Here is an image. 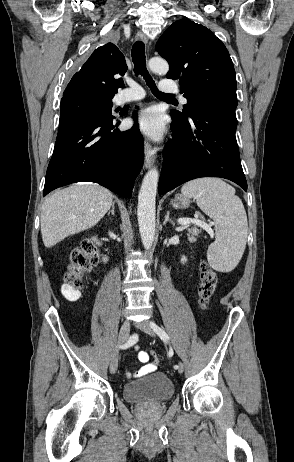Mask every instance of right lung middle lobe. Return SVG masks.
Masks as SVG:
<instances>
[{
  "mask_svg": "<svg viewBox=\"0 0 294 462\" xmlns=\"http://www.w3.org/2000/svg\"><path fill=\"white\" fill-rule=\"evenodd\" d=\"M112 98L94 93H75L62 98L59 125L95 118L113 119Z\"/></svg>",
  "mask_w": 294,
  "mask_h": 462,
  "instance_id": "1",
  "label": "right lung middle lobe"
}]
</instances>
